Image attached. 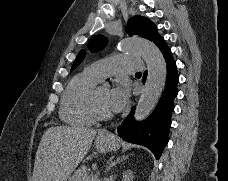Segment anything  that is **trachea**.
Returning <instances> with one entry per match:
<instances>
[{
    "label": "trachea",
    "mask_w": 228,
    "mask_h": 181,
    "mask_svg": "<svg viewBox=\"0 0 228 181\" xmlns=\"http://www.w3.org/2000/svg\"><path fill=\"white\" fill-rule=\"evenodd\" d=\"M136 75H142V73L139 71L138 73H136Z\"/></svg>",
    "instance_id": "obj_1"
}]
</instances>
